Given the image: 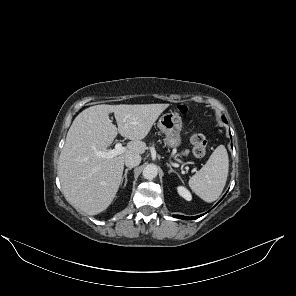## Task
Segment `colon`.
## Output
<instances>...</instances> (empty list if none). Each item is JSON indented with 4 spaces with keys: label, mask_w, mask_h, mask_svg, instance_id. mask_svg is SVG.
I'll return each instance as SVG.
<instances>
[{
    "label": "colon",
    "mask_w": 296,
    "mask_h": 296,
    "mask_svg": "<svg viewBox=\"0 0 296 296\" xmlns=\"http://www.w3.org/2000/svg\"><path fill=\"white\" fill-rule=\"evenodd\" d=\"M178 110L181 113L187 112V107L184 105H180ZM191 144L193 146V153L196 157L202 158L206 154V147H207V139L203 134H194L190 138Z\"/></svg>",
    "instance_id": "colon-1"
}]
</instances>
